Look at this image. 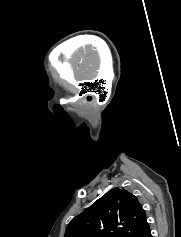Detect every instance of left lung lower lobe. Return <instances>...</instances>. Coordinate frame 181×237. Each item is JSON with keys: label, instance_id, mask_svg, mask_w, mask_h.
I'll list each match as a JSON object with an SVG mask.
<instances>
[{"label": "left lung lower lobe", "instance_id": "left-lung-lower-lobe-1", "mask_svg": "<svg viewBox=\"0 0 181 237\" xmlns=\"http://www.w3.org/2000/svg\"><path fill=\"white\" fill-rule=\"evenodd\" d=\"M139 237H152L151 232H150V228L149 227L146 228L144 230V232Z\"/></svg>", "mask_w": 181, "mask_h": 237}]
</instances>
